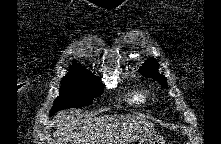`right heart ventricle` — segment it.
<instances>
[{
  "label": "right heart ventricle",
  "mask_w": 221,
  "mask_h": 144,
  "mask_svg": "<svg viewBox=\"0 0 221 144\" xmlns=\"http://www.w3.org/2000/svg\"><path fill=\"white\" fill-rule=\"evenodd\" d=\"M146 97V93L143 90L137 89L129 95L128 100L133 104H143L146 101Z\"/></svg>",
  "instance_id": "right-heart-ventricle-1"
}]
</instances>
